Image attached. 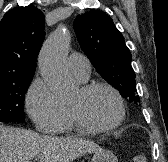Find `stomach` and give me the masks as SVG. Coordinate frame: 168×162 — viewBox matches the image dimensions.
<instances>
[{"mask_svg": "<svg viewBox=\"0 0 168 162\" xmlns=\"http://www.w3.org/2000/svg\"><path fill=\"white\" fill-rule=\"evenodd\" d=\"M91 162H118V159L112 151L101 149L94 153Z\"/></svg>", "mask_w": 168, "mask_h": 162, "instance_id": "stomach-1", "label": "stomach"}]
</instances>
